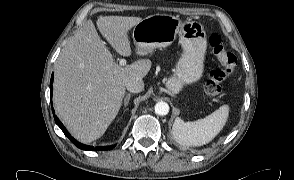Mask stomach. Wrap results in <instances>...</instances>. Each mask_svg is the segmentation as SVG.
Segmentation results:
<instances>
[{
	"label": "stomach",
	"mask_w": 294,
	"mask_h": 180,
	"mask_svg": "<svg viewBox=\"0 0 294 180\" xmlns=\"http://www.w3.org/2000/svg\"><path fill=\"white\" fill-rule=\"evenodd\" d=\"M132 37L138 53L142 55L155 48L167 47L179 37L183 54L177 62L174 76L166 84L172 94L178 93L184 84L201 78L207 40L200 22L191 19L182 22L176 16L154 14L134 26Z\"/></svg>",
	"instance_id": "1"
}]
</instances>
